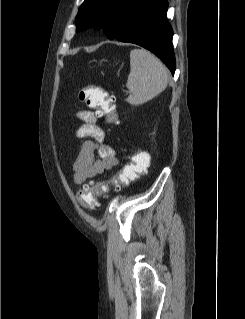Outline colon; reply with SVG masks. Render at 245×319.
I'll list each match as a JSON object with an SVG mask.
<instances>
[{
  "instance_id": "colon-1",
  "label": "colon",
  "mask_w": 245,
  "mask_h": 319,
  "mask_svg": "<svg viewBox=\"0 0 245 319\" xmlns=\"http://www.w3.org/2000/svg\"><path fill=\"white\" fill-rule=\"evenodd\" d=\"M80 99L90 108L95 109L99 116L108 121L116 119L115 98L100 87L89 85L79 93ZM150 159L145 152H139L129 158V162L113 178V185L119 190L126 184L148 172ZM107 191L104 183L90 182L84 185L76 194L77 201L85 207L94 208L98 205V197Z\"/></svg>"
}]
</instances>
